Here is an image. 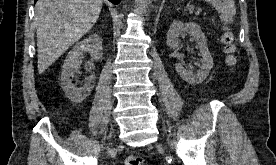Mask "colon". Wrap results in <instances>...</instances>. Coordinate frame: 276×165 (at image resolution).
<instances>
[{"label":"colon","instance_id":"obj_1","mask_svg":"<svg viewBox=\"0 0 276 165\" xmlns=\"http://www.w3.org/2000/svg\"><path fill=\"white\" fill-rule=\"evenodd\" d=\"M222 42L225 46L228 64L231 66L235 65L237 62L236 47L234 44V35L229 29H225L222 34ZM124 165H145V162L141 157L131 155L124 159Z\"/></svg>","mask_w":276,"mask_h":165}]
</instances>
